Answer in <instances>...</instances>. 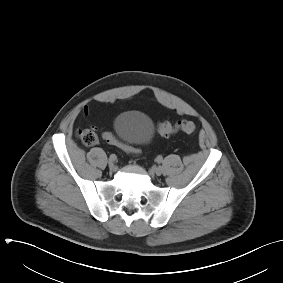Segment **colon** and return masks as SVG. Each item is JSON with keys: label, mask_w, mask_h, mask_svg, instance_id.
Listing matches in <instances>:
<instances>
[{"label": "colon", "mask_w": 283, "mask_h": 283, "mask_svg": "<svg viewBox=\"0 0 283 283\" xmlns=\"http://www.w3.org/2000/svg\"><path fill=\"white\" fill-rule=\"evenodd\" d=\"M157 130L159 134L164 137H169L179 132L192 135L197 131V125L190 120H181L174 124L163 121L158 123ZM77 136L86 146H93L98 140L97 134L93 128L80 129L77 131ZM103 139L111 145L122 148L125 152L132 156H137L139 153L135 147L123 143L112 132H104Z\"/></svg>", "instance_id": "colon-1"}]
</instances>
